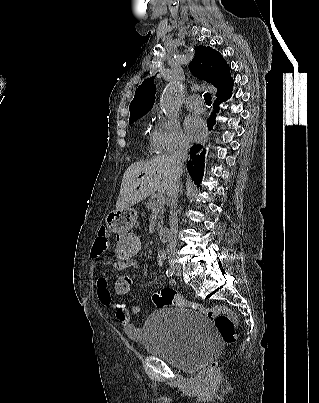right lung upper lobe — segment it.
I'll use <instances>...</instances> for the list:
<instances>
[{
    "label": "right lung upper lobe",
    "mask_w": 319,
    "mask_h": 403,
    "mask_svg": "<svg viewBox=\"0 0 319 403\" xmlns=\"http://www.w3.org/2000/svg\"><path fill=\"white\" fill-rule=\"evenodd\" d=\"M189 69L194 76L217 88V98L227 95L233 90L230 67L222 55L210 47L198 46L196 48ZM153 79L154 77L145 80L136 89L130 104L129 119L141 117L153 107L156 93V85Z\"/></svg>",
    "instance_id": "1"
}]
</instances>
